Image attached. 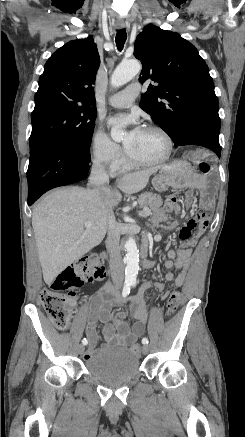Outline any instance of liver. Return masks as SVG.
Returning a JSON list of instances; mask_svg holds the SVG:
<instances>
[{
	"label": "liver",
	"mask_w": 245,
	"mask_h": 437,
	"mask_svg": "<svg viewBox=\"0 0 245 437\" xmlns=\"http://www.w3.org/2000/svg\"><path fill=\"white\" fill-rule=\"evenodd\" d=\"M156 171L157 168H149L126 174L117 187L126 194L137 193ZM121 198L118 191L107 188L98 192L91 184L87 189H57L33 208L32 226L46 284H51L67 266L101 243L109 216ZM86 222H91V226L86 227Z\"/></svg>",
	"instance_id": "liver-1"
}]
</instances>
